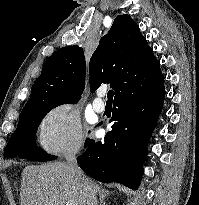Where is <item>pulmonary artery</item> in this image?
<instances>
[{"instance_id": "pulmonary-artery-1", "label": "pulmonary artery", "mask_w": 199, "mask_h": 205, "mask_svg": "<svg viewBox=\"0 0 199 205\" xmlns=\"http://www.w3.org/2000/svg\"><path fill=\"white\" fill-rule=\"evenodd\" d=\"M103 95L104 91L99 90L97 92V97L93 100V108L98 113H102L106 108L105 102L102 100Z\"/></svg>"}]
</instances>
